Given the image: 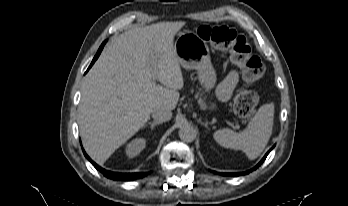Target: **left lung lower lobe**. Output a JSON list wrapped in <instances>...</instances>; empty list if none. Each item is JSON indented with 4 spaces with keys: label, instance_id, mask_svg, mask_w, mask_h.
Segmentation results:
<instances>
[{
    "label": "left lung lower lobe",
    "instance_id": "left-lung-lower-lobe-1",
    "mask_svg": "<svg viewBox=\"0 0 348 206\" xmlns=\"http://www.w3.org/2000/svg\"><path fill=\"white\" fill-rule=\"evenodd\" d=\"M273 149V147L266 153V155L263 157V159L251 170L243 172L242 174H248L249 172H251L252 170H255L256 168H258L265 160V158L267 157V155L270 153V151ZM241 173H227V174H223V175H227V176H239Z\"/></svg>",
    "mask_w": 348,
    "mask_h": 206
}]
</instances>
